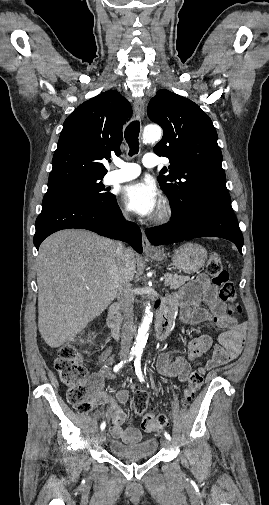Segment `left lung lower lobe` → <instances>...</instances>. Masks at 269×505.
Listing matches in <instances>:
<instances>
[{
  "label": "left lung lower lobe",
  "instance_id": "left-lung-lower-lobe-1",
  "mask_svg": "<svg viewBox=\"0 0 269 505\" xmlns=\"http://www.w3.org/2000/svg\"><path fill=\"white\" fill-rule=\"evenodd\" d=\"M146 235L152 245L215 236L232 241L242 253L243 235L230 200L198 198L189 216L179 219L172 215L168 224L147 229Z\"/></svg>",
  "mask_w": 269,
  "mask_h": 505
}]
</instances>
